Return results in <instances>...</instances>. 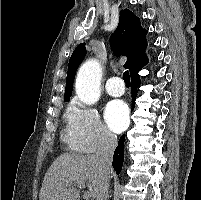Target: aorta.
I'll list each match as a JSON object with an SVG mask.
<instances>
[{
	"instance_id": "aorta-1",
	"label": "aorta",
	"mask_w": 201,
	"mask_h": 200,
	"mask_svg": "<svg viewBox=\"0 0 201 200\" xmlns=\"http://www.w3.org/2000/svg\"><path fill=\"white\" fill-rule=\"evenodd\" d=\"M101 65L96 59L86 61L79 69L76 78V94L87 104H95L100 97Z\"/></svg>"
}]
</instances>
